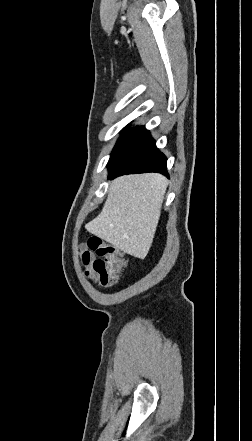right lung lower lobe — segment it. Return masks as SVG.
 Segmentation results:
<instances>
[{
  "label": "right lung lower lobe",
  "instance_id": "obj_1",
  "mask_svg": "<svg viewBox=\"0 0 252 441\" xmlns=\"http://www.w3.org/2000/svg\"><path fill=\"white\" fill-rule=\"evenodd\" d=\"M166 161L149 131L145 127H136L114 158L108 162V178L145 172H159L168 176Z\"/></svg>",
  "mask_w": 252,
  "mask_h": 441
}]
</instances>
